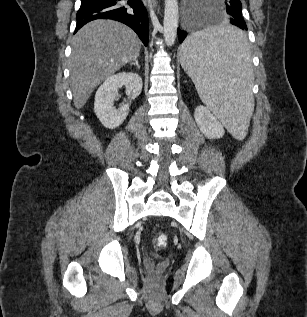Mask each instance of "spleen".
Wrapping results in <instances>:
<instances>
[{"label":"spleen","instance_id":"1","mask_svg":"<svg viewBox=\"0 0 307 317\" xmlns=\"http://www.w3.org/2000/svg\"><path fill=\"white\" fill-rule=\"evenodd\" d=\"M180 62L203 103L233 137L243 138L254 107L245 29L203 26V32L190 35L183 43Z\"/></svg>","mask_w":307,"mask_h":317}]
</instances>
